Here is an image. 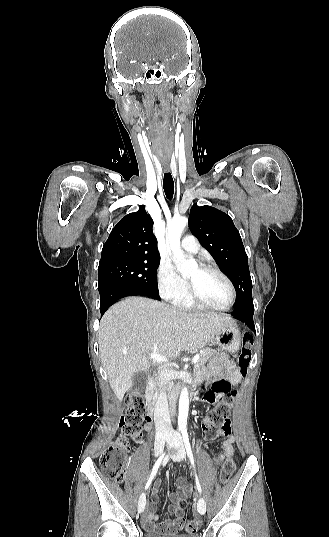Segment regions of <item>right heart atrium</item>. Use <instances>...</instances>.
<instances>
[{"instance_id": "d8ad5b80", "label": "right heart atrium", "mask_w": 329, "mask_h": 537, "mask_svg": "<svg viewBox=\"0 0 329 537\" xmlns=\"http://www.w3.org/2000/svg\"><path fill=\"white\" fill-rule=\"evenodd\" d=\"M157 287L167 301L177 302L187 294V283L169 260H161L157 269Z\"/></svg>"}]
</instances>
